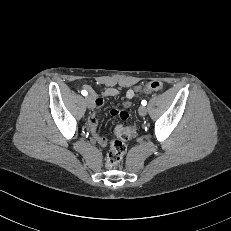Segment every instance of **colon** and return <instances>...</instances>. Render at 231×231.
<instances>
[{
  "instance_id": "5ec220e1",
  "label": "colon",
  "mask_w": 231,
  "mask_h": 231,
  "mask_svg": "<svg viewBox=\"0 0 231 231\" xmlns=\"http://www.w3.org/2000/svg\"><path fill=\"white\" fill-rule=\"evenodd\" d=\"M163 84L160 81H151L140 89V93H150L161 90ZM129 114L122 112L120 118L122 120L128 119ZM116 138L109 144V152L105 158L104 165L107 169H112L118 165L126 151L125 141L134 138L137 135V126L135 124L130 126H116L115 130Z\"/></svg>"
}]
</instances>
